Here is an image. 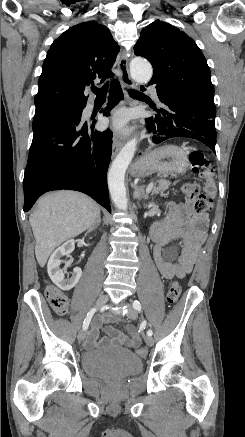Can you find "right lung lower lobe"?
<instances>
[{
	"label": "right lung lower lobe",
	"instance_id": "1",
	"mask_svg": "<svg viewBox=\"0 0 245 437\" xmlns=\"http://www.w3.org/2000/svg\"><path fill=\"white\" fill-rule=\"evenodd\" d=\"M122 98L117 83L103 115L108 116ZM82 110L53 117L34 129L23 180L25 212L45 192L61 189L84 192L111 212L106 173L112 132L94 130L96 120L83 123Z\"/></svg>",
	"mask_w": 245,
	"mask_h": 437
}]
</instances>
